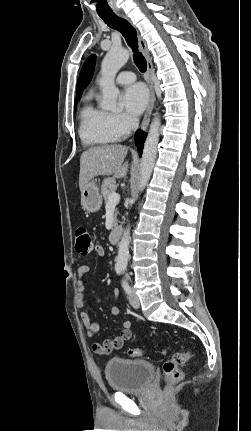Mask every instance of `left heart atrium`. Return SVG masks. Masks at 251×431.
Masks as SVG:
<instances>
[{
  "mask_svg": "<svg viewBox=\"0 0 251 431\" xmlns=\"http://www.w3.org/2000/svg\"><path fill=\"white\" fill-rule=\"evenodd\" d=\"M149 101L148 90L144 84L129 85L123 92L122 103L125 110L132 116H139Z\"/></svg>",
  "mask_w": 251,
  "mask_h": 431,
  "instance_id": "obj_1",
  "label": "left heart atrium"
}]
</instances>
